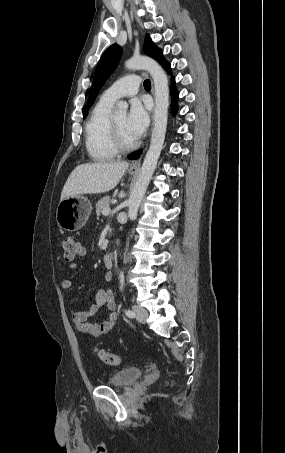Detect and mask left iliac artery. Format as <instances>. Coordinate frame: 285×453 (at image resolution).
Masks as SVG:
<instances>
[{
    "label": "left iliac artery",
    "instance_id": "44dca946",
    "mask_svg": "<svg viewBox=\"0 0 285 453\" xmlns=\"http://www.w3.org/2000/svg\"><path fill=\"white\" fill-rule=\"evenodd\" d=\"M123 287H124V275L121 273L120 274V289L123 290ZM125 314L129 318H133L135 316V313L129 309L125 310Z\"/></svg>",
    "mask_w": 285,
    "mask_h": 453
}]
</instances>
